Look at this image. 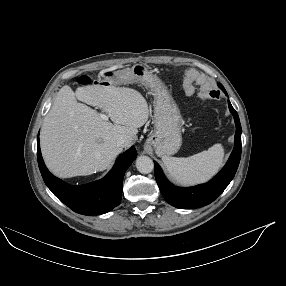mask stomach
Returning a JSON list of instances; mask_svg holds the SVG:
<instances>
[{"instance_id":"obj_1","label":"stomach","mask_w":286,"mask_h":286,"mask_svg":"<svg viewBox=\"0 0 286 286\" xmlns=\"http://www.w3.org/2000/svg\"><path fill=\"white\" fill-rule=\"evenodd\" d=\"M110 84L115 82H139L153 91L154 95V130L146 143L158 156H169L177 153L182 144V116L173 97L163 81L143 64L117 71L115 76L107 78Z\"/></svg>"}]
</instances>
